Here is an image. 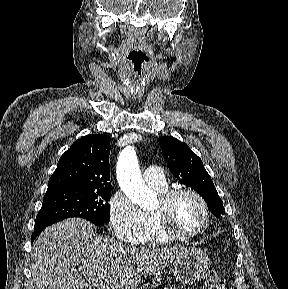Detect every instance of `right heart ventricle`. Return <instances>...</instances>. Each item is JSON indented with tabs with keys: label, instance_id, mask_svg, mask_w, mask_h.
<instances>
[{
	"label": "right heart ventricle",
	"instance_id": "right-heart-ventricle-1",
	"mask_svg": "<svg viewBox=\"0 0 288 289\" xmlns=\"http://www.w3.org/2000/svg\"><path fill=\"white\" fill-rule=\"evenodd\" d=\"M158 192L160 193H164L168 190V187H162V188H155ZM148 220V224H149V229H148V233L143 241V243H149V244H167L173 241V239H171L170 237H168L166 234H164L156 220L155 217L153 215V213H148L145 214Z\"/></svg>",
	"mask_w": 288,
	"mask_h": 289
}]
</instances>
